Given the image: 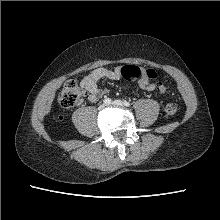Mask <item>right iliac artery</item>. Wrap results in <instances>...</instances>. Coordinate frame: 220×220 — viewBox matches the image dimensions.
I'll list each match as a JSON object with an SVG mask.
<instances>
[{
	"instance_id": "right-iliac-artery-1",
	"label": "right iliac artery",
	"mask_w": 220,
	"mask_h": 220,
	"mask_svg": "<svg viewBox=\"0 0 220 220\" xmlns=\"http://www.w3.org/2000/svg\"><path fill=\"white\" fill-rule=\"evenodd\" d=\"M103 102L105 104H110L111 103V99L110 98H106V99L103 100Z\"/></svg>"
}]
</instances>
